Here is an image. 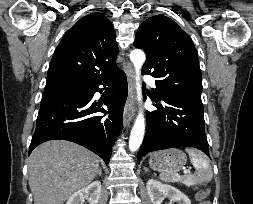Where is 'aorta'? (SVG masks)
Listing matches in <instances>:
<instances>
[{"label":"aorta","mask_w":253,"mask_h":204,"mask_svg":"<svg viewBox=\"0 0 253 204\" xmlns=\"http://www.w3.org/2000/svg\"><path fill=\"white\" fill-rule=\"evenodd\" d=\"M130 59L136 70V86H137L138 100L141 101L142 95H141V85L139 83L140 80L139 76L141 67L145 62V53L139 49L133 50L130 54ZM144 131H145V120L143 114L140 113L132 128L129 139V149L131 151L134 152L140 147L144 137Z\"/></svg>","instance_id":"obj_1"}]
</instances>
